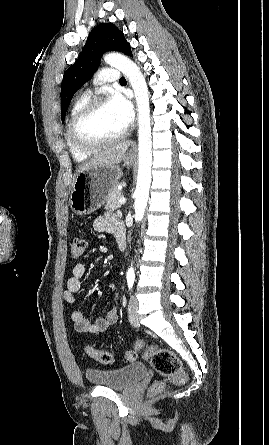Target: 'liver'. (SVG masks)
I'll return each instance as SVG.
<instances>
[{
	"label": "liver",
	"instance_id": "6515ba94",
	"mask_svg": "<svg viewBox=\"0 0 269 445\" xmlns=\"http://www.w3.org/2000/svg\"><path fill=\"white\" fill-rule=\"evenodd\" d=\"M129 146L130 142L124 141L122 143L106 148L98 155L93 157L90 161L80 165L76 170V175L93 167L119 164L124 158Z\"/></svg>",
	"mask_w": 269,
	"mask_h": 445
}]
</instances>
